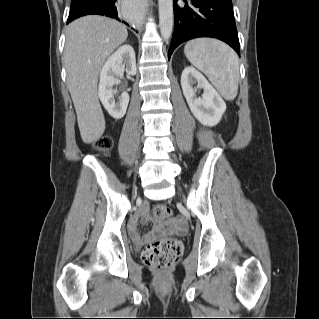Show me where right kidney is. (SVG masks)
<instances>
[{
    "label": "right kidney",
    "instance_id": "1",
    "mask_svg": "<svg viewBox=\"0 0 319 319\" xmlns=\"http://www.w3.org/2000/svg\"><path fill=\"white\" fill-rule=\"evenodd\" d=\"M126 71L127 75L136 74V58L132 46L122 45L105 62L100 72L98 96L108 113L115 119H121L127 110L129 95L123 92L115 101L113 86L118 83L119 75Z\"/></svg>",
    "mask_w": 319,
    "mask_h": 319
}]
</instances>
